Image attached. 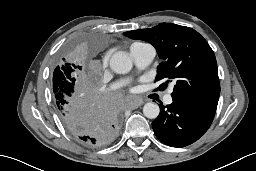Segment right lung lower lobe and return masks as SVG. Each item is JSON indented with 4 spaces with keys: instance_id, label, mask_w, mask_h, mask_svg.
<instances>
[{
    "instance_id": "obj_1",
    "label": "right lung lower lobe",
    "mask_w": 256,
    "mask_h": 171,
    "mask_svg": "<svg viewBox=\"0 0 256 171\" xmlns=\"http://www.w3.org/2000/svg\"><path fill=\"white\" fill-rule=\"evenodd\" d=\"M59 116L72 136L88 147L112 142L121 125V116L114 101H106L88 90L75 103L58 108Z\"/></svg>"
}]
</instances>
